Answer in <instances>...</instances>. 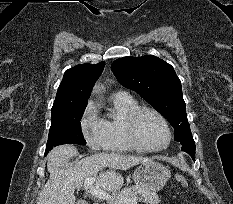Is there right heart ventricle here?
<instances>
[{
    "instance_id": "obj_1",
    "label": "right heart ventricle",
    "mask_w": 233,
    "mask_h": 204,
    "mask_svg": "<svg viewBox=\"0 0 233 204\" xmlns=\"http://www.w3.org/2000/svg\"><path fill=\"white\" fill-rule=\"evenodd\" d=\"M138 107V102L130 95L117 93L112 96L111 108L101 118L105 137V150L114 152L135 150L127 138L125 121L127 116Z\"/></svg>"
}]
</instances>
